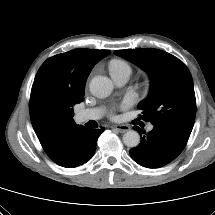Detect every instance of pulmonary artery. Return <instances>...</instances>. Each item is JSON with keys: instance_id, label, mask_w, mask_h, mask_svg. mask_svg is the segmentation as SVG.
<instances>
[{"instance_id": "obj_1", "label": "pulmonary artery", "mask_w": 215, "mask_h": 215, "mask_svg": "<svg viewBox=\"0 0 215 215\" xmlns=\"http://www.w3.org/2000/svg\"><path fill=\"white\" fill-rule=\"evenodd\" d=\"M112 79L118 87H121L127 83L129 76L117 75V76H112ZM102 114H103V110L101 108L84 109L79 111L76 114V120L79 123L87 122L89 120H98L102 117ZM152 129H153V126L149 125L148 130H152Z\"/></svg>"}]
</instances>
